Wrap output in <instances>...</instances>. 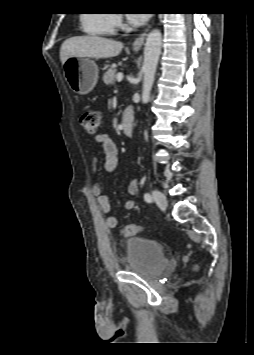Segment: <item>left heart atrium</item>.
Here are the masks:
<instances>
[{
	"mask_svg": "<svg viewBox=\"0 0 254 355\" xmlns=\"http://www.w3.org/2000/svg\"><path fill=\"white\" fill-rule=\"evenodd\" d=\"M147 18H148L147 13H130V14H128V21L133 26L142 25L143 23H145Z\"/></svg>",
	"mask_w": 254,
	"mask_h": 355,
	"instance_id": "1",
	"label": "left heart atrium"
}]
</instances>
